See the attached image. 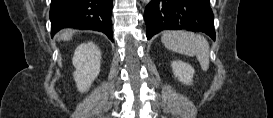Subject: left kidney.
Here are the masks:
<instances>
[{
    "instance_id": "1",
    "label": "left kidney",
    "mask_w": 273,
    "mask_h": 118,
    "mask_svg": "<svg viewBox=\"0 0 273 118\" xmlns=\"http://www.w3.org/2000/svg\"><path fill=\"white\" fill-rule=\"evenodd\" d=\"M171 67L174 76L177 77L180 82L185 85L192 84L194 69L191 65L180 60H175L171 63Z\"/></svg>"
}]
</instances>
